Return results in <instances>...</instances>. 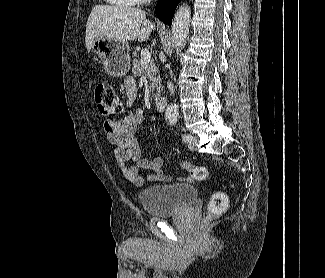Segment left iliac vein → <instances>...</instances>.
Instances as JSON below:
<instances>
[{
	"instance_id": "4c4485c4",
	"label": "left iliac vein",
	"mask_w": 325,
	"mask_h": 278,
	"mask_svg": "<svg viewBox=\"0 0 325 278\" xmlns=\"http://www.w3.org/2000/svg\"><path fill=\"white\" fill-rule=\"evenodd\" d=\"M197 139L192 137V140L188 143V148L192 151L196 150Z\"/></svg>"
}]
</instances>
